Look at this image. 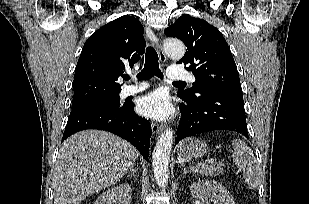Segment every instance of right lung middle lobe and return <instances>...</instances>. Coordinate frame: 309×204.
<instances>
[{
  "label": "right lung middle lobe",
  "instance_id": "dd1d6c3e",
  "mask_svg": "<svg viewBox=\"0 0 309 204\" xmlns=\"http://www.w3.org/2000/svg\"><path fill=\"white\" fill-rule=\"evenodd\" d=\"M89 106H114V107L119 108L121 107L119 93L102 96L99 98H95V99L77 103V104H72V109H78V108L89 107Z\"/></svg>",
  "mask_w": 309,
  "mask_h": 204
}]
</instances>
